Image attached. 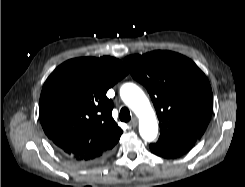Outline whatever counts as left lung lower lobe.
Returning a JSON list of instances; mask_svg holds the SVG:
<instances>
[{
    "label": "left lung lower lobe",
    "instance_id": "left-lung-lower-lobe-1",
    "mask_svg": "<svg viewBox=\"0 0 245 187\" xmlns=\"http://www.w3.org/2000/svg\"><path fill=\"white\" fill-rule=\"evenodd\" d=\"M198 138L183 137L176 139H161L150 144L151 151L157 156L164 158H175L185 154L191 149Z\"/></svg>",
    "mask_w": 245,
    "mask_h": 187
}]
</instances>
